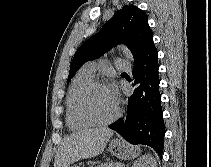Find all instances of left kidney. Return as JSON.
Masks as SVG:
<instances>
[{"label": "left kidney", "instance_id": "left-kidney-1", "mask_svg": "<svg viewBox=\"0 0 211 167\" xmlns=\"http://www.w3.org/2000/svg\"><path fill=\"white\" fill-rule=\"evenodd\" d=\"M132 167H157V163L152 155L147 154L138 159Z\"/></svg>", "mask_w": 211, "mask_h": 167}]
</instances>
